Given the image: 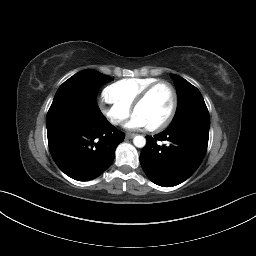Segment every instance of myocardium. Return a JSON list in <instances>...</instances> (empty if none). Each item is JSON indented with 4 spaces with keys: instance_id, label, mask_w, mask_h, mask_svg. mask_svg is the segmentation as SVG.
I'll list each match as a JSON object with an SVG mask.
<instances>
[{
    "instance_id": "myocardium-1",
    "label": "myocardium",
    "mask_w": 256,
    "mask_h": 256,
    "mask_svg": "<svg viewBox=\"0 0 256 256\" xmlns=\"http://www.w3.org/2000/svg\"><path fill=\"white\" fill-rule=\"evenodd\" d=\"M161 85H166L171 90L172 97H173L172 105H171V108H170L167 116L162 121H160L159 123H157V124H155L153 126L147 127V129L150 130V131L161 130V129L165 128L166 126H168L170 124V122L172 121V119H173V117L175 115V112L177 110V106H178V93H177V90L174 87V85L171 84L168 81H165V80L157 81V82L149 85L147 88H145L142 91V93L137 97V99L135 100V102L132 105V112L134 113V111L141 104H143L146 101V99L149 97V95L152 93V91L154 89H156L158 86H161Z\"/></svg>"
}]
</instances>
